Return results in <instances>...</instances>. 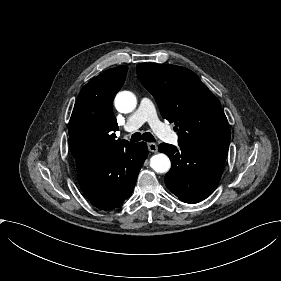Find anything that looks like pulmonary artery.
I'll return each mask as SVG.
<instances>
[{
	"label": "pulmonary artery",
	"instance_id": "e3ab8cb5",
	"mask_svg": "<svg viewBox=\"0 0 281 281\" xmlns=\"http://www.w3.org/2000/svg\"><path fill=\"white\" fill-rule=\"evenodd\" d=\"M150 105V99L147 97L143 98L137 110L127 118V122L123 128V131L126 132L137 129L146 121L152 128L166 127V125L157 118L156 114L151 115L149 113L148 108Z\"/></svg>",
	"mask_w": 281,
	"mask_h": 281
}]
</instances>
